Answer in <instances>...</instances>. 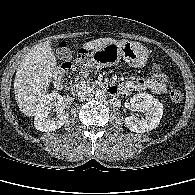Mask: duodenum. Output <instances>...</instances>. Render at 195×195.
<instances>
[{
  "mask_svg": "<svg viewBox=\"0 0 195 195\" xmlns=\"http://www.w3.org/2000/svg\"><path fill=\"white\" fill-rule=\"evenodd\" d=\"M88 88V84L85 82H78L72 87V92L75 94H81L84 91H86ZM106 92L109 94H116L117 93V88L114 85H107L104 87Z\"/></svg>",
  "mask_w": 195,
  "mask_h": 195,
  "instance_id": "1",
  "label": "duodenum"
}]
</instances>
